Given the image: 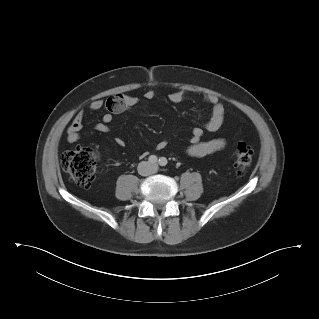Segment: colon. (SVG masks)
Masks as SVG:
<instances>
[{
  "label": "colon",
  "instance_id": "obj_1",
  "mask_svg": "<svg viewBox=\"0 0 319 319\" xmlns=\"http://www.w3.org/2000/svg\"><path fill=\"white\" fill-rule=\"evenodd\" d=\"M117 97V96H116ZM113 101L108 102L112 109ZM252 149L244 143L239 142L234 151L233 166L237 174L242 175L252 163ZM99 152L89 146H79L76 149L66 152L61 156V165L77 184L88 187L95 179Z\"/></svg>",
  "mask_w": 319,
  "mask_h": 319
}]
</instances>
